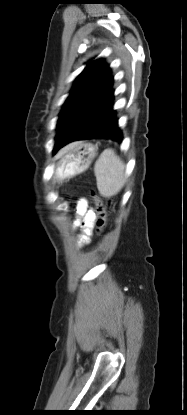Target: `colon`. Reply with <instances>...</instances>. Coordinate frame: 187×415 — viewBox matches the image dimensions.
<instances>
[{
	"mask_svg": "<svg viewBox=\"0 0 187 415\" xmlns=\"http://www.w3.org/2000/svg\"><path fill=\"white\" fill-rule=\"evenodd\" d=\"M93 198L97 213L96 226L98 230H102L106 226L107 218L109 216V211L112 203L110 200H103L101 197L97 195H93Z\"/></svg>",
	"mask_w": 187,
	"mask_h": 415,
	"instance_id": "colon-1",
	"label": "colon"
}]
</instances>
